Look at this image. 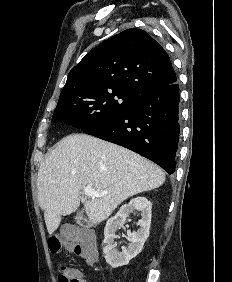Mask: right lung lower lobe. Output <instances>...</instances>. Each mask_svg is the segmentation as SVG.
<instances>
[{"mask_svg":"<svg viewBox=\"0 0 232 282\" xmlns=\"http://www.w3.org/2000/svg\"><path fill=\"white\" fill-rule=\"evenodd\" d=\"M176 81L145 91L133 109L83 131L126 147L152 160L169 174L174 173L180 134V94Z\"/></svg>","mask_w":232,"mask_h":282,"instance_id":"obj_1","label":"right lung lower lobe"}]
</instances>
